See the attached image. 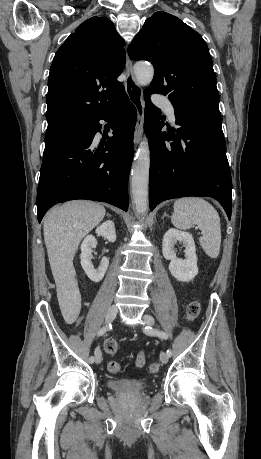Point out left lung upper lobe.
Instances as JSON below:
<instances>
[{"mask_svg":"<svg viewBox=\"0 0 261 459\" xmlns=\"http://www.w3.org/2000/svg\"><path fill=\"white\" fill-rule=\"evenodd\" d=\"M134 60L151 61L150 93L167 95L175 111L221 117L212 59L203 38L177 17L156 12L128 48Z\"/></svg>","mask_w":261,"mask_h":459,"instance_id":"obj_1","label":"left lung upper lobe"}]
</instances>
